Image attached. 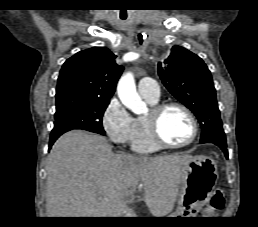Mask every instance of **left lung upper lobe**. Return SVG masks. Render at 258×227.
<instances>
[{
    "label": "left lung upper lobe",
    "mask_w": 258,
    "mask_h": 227,
    "mask_svg": "<svg viewBox=\"0 0 258 227\" xmlns=\"http://www.w3.org/2000/svg\"><path fill=\"white\" fill-rule=\"evenodd\" d=\"M162 83L198 118L201 143H226L211 73L203 60L189 50L174 46L170 56L159 63Z\"/></svg>",
    "instance_id": "1"
}]
</instances>
